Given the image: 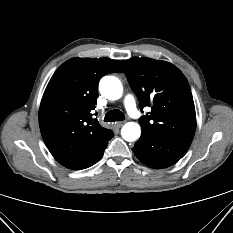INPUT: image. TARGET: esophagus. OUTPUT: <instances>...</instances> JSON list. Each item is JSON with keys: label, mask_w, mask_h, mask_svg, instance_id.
I'll use <instances>...</instances> for the list:
<instances>
[{"label": "esophagus", "mask_w": 233, "mask_h": 233, "mask_svg": "<svg viewBox=\"0 0 233 233\" xmlns=\"http://www.w3.org/2000/svg\"><path fill=\"white\" fill-rule=\"evenodd\" d=\"M124 124H125V121L117 122V126H118V127H122Z\"/></svg>", "instance_id": "34e87169"}]
</instances>
